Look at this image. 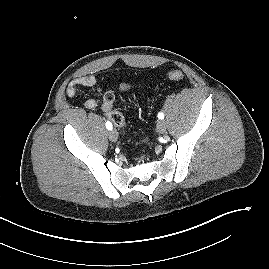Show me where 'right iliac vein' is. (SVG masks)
Masks as SVG:
<instances>
[{
    "mask_svg": "<svg viewBox=\"0 0 269 269\" xmlns=\"http://www.w3.org/2000/svg\"><path fill=\"white\" fill-rule=\"evenodd\" d=\"M108 137L112 142H116L118 139V133L116 130H110L108 132Z\"/></svg>",
    "mask_w": 269,
    "mask_h": 269,
    "instance_id": "right-iliac-vein-1",
    "label": "right iliac vein"
}]
</instances>
